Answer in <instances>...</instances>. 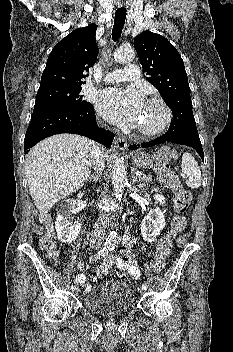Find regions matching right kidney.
<instances>
[{"label":"right kidney","instance_id":"ca27d5eb","mask_svg":"<svg viewBox=\"0 0 233 352\" xmlns=\"http://www.w3.org/2000/svg\"><path fill=\"white\" fill-rule=\"evenodd\" d=\"M83 197V193L78 194V198ZM69 210L68 212L62 211L61 213L58 214L56 222H55V229L57 232L58 239L63 242V243H71L74 241L81 229V223L76 221L74 222L71 227L69 225L71 224L69 219H70V212L74 208V203L73 201H69Z\"/></svg>","mask_w":233,"mask_h":352}]
</instances>
